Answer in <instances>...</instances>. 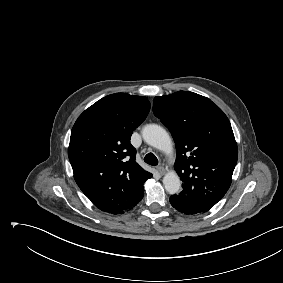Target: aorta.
<instances>
[{
    "label": "aorta",
    "mask_w": 283,
    "mask_h": 283,
    "mask_svg": "<svg viewBox=\"0 0 283 283\" xmlns=\"http://www.w3.org/2000/svg\"><path fill=\"white\" fill-rule=\"evenodd\" d=\"M143 140L150 146L165 153L172 152V141L164 128L157 124H148L142 129ZM165 189L170 194H176L181 189V181L176 172L170 171L163 178Z\"/></svg>",
    "instance_id": "1"
}]
</instances>
